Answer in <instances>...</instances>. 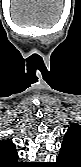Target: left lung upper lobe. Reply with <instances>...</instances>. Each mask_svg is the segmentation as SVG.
<instances>
[{"instance_id": "obj_1", "label": "left lung upper lobe", "mask_w": 81, "mask_h": 167, "mask_svg": "<svg viewBox=\"0 0 81 167\" xmlns=\"http://www.w3.org/2000/svg\"><path fill=\"white\" fill-rule=\"evenodd\" d=\"M62 146H66L76 156L81 157V125L71 124L65 133Z\"/></svg>"}]
</instances>
